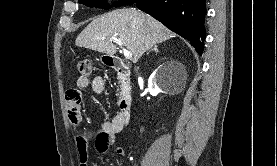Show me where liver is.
Wrapping results in <instances>:
<instances>
[{"instance_id":"6515ba94","label":"liver","mask_w":277,"mask_h":166,"mask_svg":"<svg viewBox=\"0 0 277 166\" xmlns=\"http://www.w3.org/2000/svg\"><path fill=\"white\" fill-rule=\"evenodd\" d=\"M112 37L122 41L136 63L148 49L175 37V34L153 17L135 8H123L94 19L78 35L75 44L112 56L117 51Z\"/></svg>"}]
</instances>
